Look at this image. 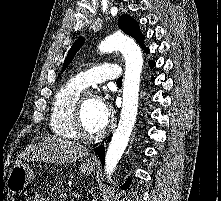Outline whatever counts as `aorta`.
Returning <instances> with one entry per match:
<instances>
[{
    "mask_svg": "<svg viewBox=\"0 0 221 201\" xmlns=\"http://www.w3.org/2000/svg\"><path fill=\"white\" fill-rule=\"evenodd\" d=\"M99 50L103 53L120 51L126 60L121 116L105 156V174L110 178L126 149L136 121L143 58L135 41L118 33L104 39Z\"/></svg>",
    "mask_w": 221,
    "mask_h": 201,
    "instance_id": "aorta-1",
    "label": "aorta"
}]
</instances>
